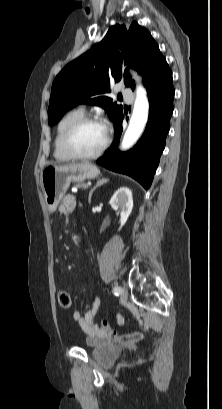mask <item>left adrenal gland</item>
<instances>
[{
  "mask_svg": "<svg viewBox=\"0 0 222 409\" xmlns=\"http://www.w3.org/2000/svg\"><path fill=\"white\" fill-rule=\"evenodd\" d=\"M106 182H107L106 179H102V180H98V181H97L96 185H95V186L90 190V192H89V198H88V202H89V203H91V197H92L93 192H94L99 186L105 184Z\"/></svg>",
  "mask_w": 222,
  "mask_h": 409,
  "instance_id": "a2214340",
  "label": "left adrenal gland"
}]
</instances>
